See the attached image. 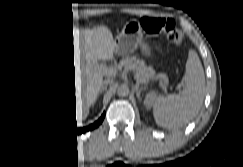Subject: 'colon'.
I'll return each instance as SVG.
<instances>
[{
  "mask_svg": "<svg viewBox=\"0 0 243 167\" xmlns=\"http://www.w3.org/2000/svg\"><path fill=\"white\" fill-rule=\"evenodd\" d=\"M140 24L145 32L151 35H165L166 38L174 43L180 44L183 40V33L177 29L175 21L168 17H144Z\"/></svg>",
  "mask_w": 243,
  "mask_h": 167,
  "instance_id": "1",
  "label": "colon"
}]
</instances>
